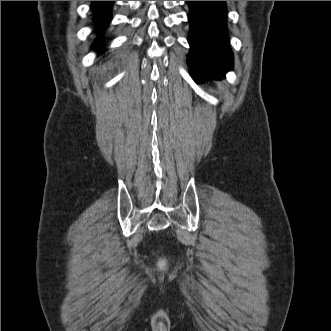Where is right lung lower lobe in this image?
<instances>
[{
	"label": "right lung lower lobe",
	"instance_id": "obj_1",
	"mask_svg": "<svg viewBox=\"0 0 331 331\" xmlns=\"http://www.w3.org/2000/svg\"><path fill=\"white\" fill-rule=\"evenodd\" d=\"M114 1H93L92 10L95 20L102 26H106L111 20L110 10Z\"/></svg>",
	"mask_w": 331,
	"mask_h": 331
}]
</instances>
